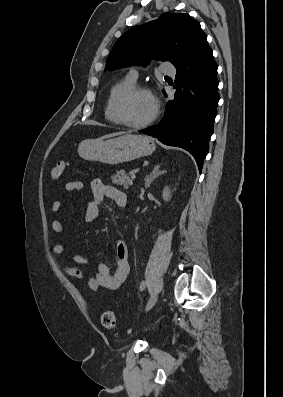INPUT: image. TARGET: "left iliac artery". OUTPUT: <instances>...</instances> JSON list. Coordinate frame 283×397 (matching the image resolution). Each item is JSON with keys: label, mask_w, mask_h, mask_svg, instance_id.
<instances>
[{"label": "left iliac artery", "mask_w": 283, "mask_h": 397, "mask_svg": "<svg viewBox=\"0 0 283 397\" xmlns=\"http://www.w3.org/2000/svg\"><path fill=\"white\" fill-rule=\"evenodd\" d=\"M146 287V282L142 281L140 284V290H143Z\"/></svg>", "instance_id": "obj_1"}]
</instances>
